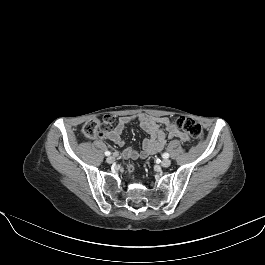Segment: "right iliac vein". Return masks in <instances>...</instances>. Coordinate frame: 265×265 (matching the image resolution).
Masks as SVG:
<instances>
[{"instance_id":"1","label":"right iliac vein","mask_w":265,"mask_h":265,"mask_svg":"<svg viewBox=\"0 0 265 265\" xmlns=\"http://www.w3.org/2000/svg\"><path fill=\"white\" fill-rule=\"evenodd\" d=\"M106 161L107 163L112 164L115 161V158L113 156H109Z\"/></svg>"}]
</instances>
